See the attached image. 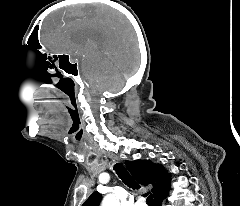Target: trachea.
I'll use <instances>...</instances> for the list:
<instances>
[{"label": "trachea", "instance_id": "1", "mask_svg": "<svg viewBox=\"0 0 240 206\" xmlns=\"http://www.w3.org/2000/svg\"><path fill=\"white\" fill-rule=\"evenodd\" d=\"M114 170L116 171V173L119 176V178L129 188H132V189H139L140 188V185L132 178V176L129 174L127 169L121 163H117L114 166ZM147 203H148L149 206H154V200H153V196L152 195H149L147 197Z\"/></svg>", "mask_w": 240, "mask_h": 206}]
</instances>
